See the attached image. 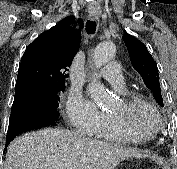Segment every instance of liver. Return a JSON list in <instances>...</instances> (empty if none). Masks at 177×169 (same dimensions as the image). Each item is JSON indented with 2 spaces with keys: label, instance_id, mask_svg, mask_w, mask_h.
Instances as JSON below:
<instances>
[{
  "label": "liver",
  "instance_id": "1",
  "mask_svg": "<svg viewBox=\"0 0 177 169\" xmlns=\"http://www.w3.org/2000/svg\"><path fill=\"white\" fill-rule=\"evenodd\" d=\"M141 157L140 152L117 144L46 128L14 139L4 169H115L124 159Z\"/></svg>",
  "mask_w": 177,
  "mask_h": 169
}]
</instances>
